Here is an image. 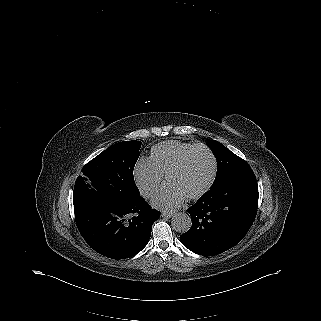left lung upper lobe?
I'll return each instance as SVG.
<instances>
[{
  "mask_svg": "<svg viewBox=\"0 0 321 321\" xmlns=\"http://www.w3.org/2000/svg\"><path fill=\"white\" fill-rule=\"evenodd\" d=\"M207 145L214 152L217 159V174L212 186L219 184L235 172L251 169L245 160L235 155L220 142L208 140Z\"/></svg>",
  "mask_w": 321,
  "mask_h": 321,
  "instance_id": "1",
  "label": "left lung upper lobe"
}]
</instances>
